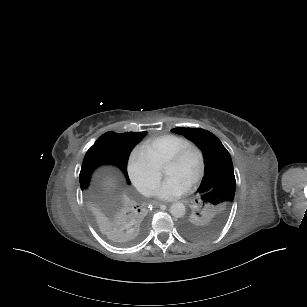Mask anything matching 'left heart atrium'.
Masks as SVG:
<instances>
[{
	"label": "left heart atrium",
	"mask_w": 307,
	"mask_h": 307,
	"mask_svg": "<svg viewBox=\"0 0 307 307\" xmlns=\"http://www.w3.org/2000/svg\"><path fill=\"white\" fill-rule=\"evenodd\" d=\"M189 182L177 175H170L154 182L150 193L161 200H175L189 191Z\"/></svg>",
	"instance_id": "1"
}]
</instances>
